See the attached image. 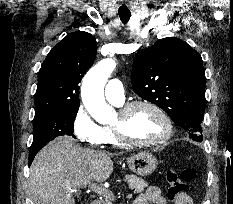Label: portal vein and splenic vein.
Listing matches in <instances>:
<instances>
[{
	"instance_id": "obj_1",
	"label": "portal vein and splenic vein",
	"mask_w": 233,
	"mask_h": 204,
	"mask_svg": "<svg viewBox=\"0 0 233 204\" xmlns=\"http://www.w3.org/2000/svg\"><path fill=\"white\" fill-rule=\"evenodd\" d=\"M85 187H87L90 191H93L99 195H102L104 197H113V193L112 191L105 189L103 187L98 186L95 183H89L87 185H85ZM132 195H128L127 198L130 199Z\"/></svg>"
}]
</instances>
